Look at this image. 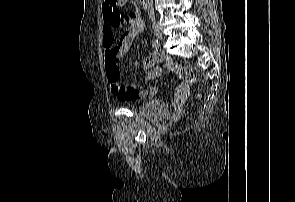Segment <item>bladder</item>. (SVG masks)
<instances>
[{
	"label": "bladder",
	"instance_id": "31cf9c89",
	"mask_svg": "<svg viewBox=\"0 0 295 202\" xmlns=\"http://www.w3.org/2000/svg\"><path fill=\"white\" fill-rule=\"evenodd\" d=\"M169 113V105L161 99H152L145 103L139 110V114L146 120L157 121Z\"/></svg>",
	"mask_w": 295,
	"mask_h": 202
}]
</instances>
